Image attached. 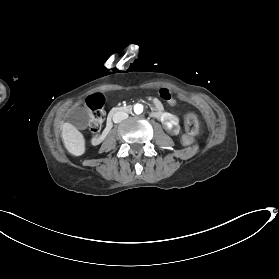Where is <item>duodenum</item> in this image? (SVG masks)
<instances>
[{
    "instance_id": "1",
    "label": "duodenum",
    "mask_w": 279,
    "mask_h": 279,
    "mask_svg": "<svg viewBox=\"0 0 279 279\" xmlns=\"http://www.w3.org/2000/svg\"><path fill=\"white\" fill-rule=\"evenodd\" d=\"M130 107L128 105L119 106V107H112L110 110L106 112V128L100 133V136L95 135L93 137L92 145L94 147H98L100 144L104 142L106 136L110 133V130L113 128V115L118 113L128 112Z\"/></svg>"
}]
</instances>
